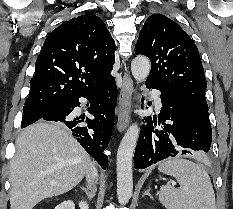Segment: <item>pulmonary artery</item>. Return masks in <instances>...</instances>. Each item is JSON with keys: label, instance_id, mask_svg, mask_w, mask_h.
<instances>
[{"label": "pulmonary artery", "instance_id": "1", "mask_svg": "<svg viewBox=\"0 0 233 209\" xmlns=\"http://www.w3.org/2000/svg\"><path fill=\"white\" fill-rule=\"evenodd\" d=\"M150 92L154 96V103H155L156 107L161 108L162 107V101H161L159 92L157 90H154V89H151Z\"/></svg>", "mask_w": 233, "mask_h": 209}]
</instances>
